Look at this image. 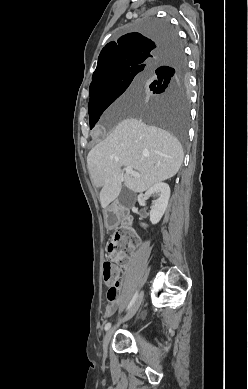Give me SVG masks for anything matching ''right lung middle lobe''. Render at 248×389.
I'll list each match as a JSON object with an SVG mask.
<instances>
[{
    "label": "right lung middle lobe",
    "instance_id": "right-lung-middle-lobe-1",
    "mask_svg": "<svg viewBox=\"0 0 248 389\" xmlns=\"http://www.w3.org/2000/svg\"><path fill=\"white\" fill-rule=\"evenodd\" d=\"M137 28L153 38H173L176 33L167 21L147 18ZM159 68L164 73H155ZM146 82L153 94L146 103L129 101L121 104L118 113L132 114L146 122L169 130L185 145L189 119V87L187 63L183 53L170 51L161 56L152 67L143 66L113 71L100 78L90 87L89 121L92 129L102 113L131 84Z\"/></svg>",
    "mask_w": 248,
    "mask_h": 389
}]
</instances>
